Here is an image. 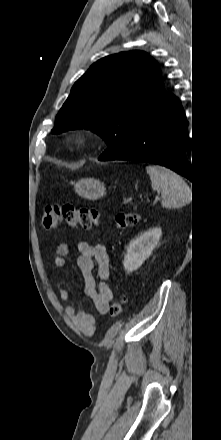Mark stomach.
Returning <instances> with one entry per match:
<instances>
[{"mask_svg": "<svg viewBox=\"0 0 221 440\" xmlns=\"http://www.w3.org/2000/svg\"><path fill=\"white\" fill-rule=\"evenodd\" d=\"M75 192L84 198L95 200L105 195L104 184L94 178L80 179L74 183Z\"/></svg>", "mask_w": 221, "mask_h": 440, "instance_id": "0dacf381", "label": "stomach"}]
</instances>
